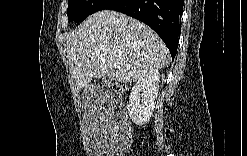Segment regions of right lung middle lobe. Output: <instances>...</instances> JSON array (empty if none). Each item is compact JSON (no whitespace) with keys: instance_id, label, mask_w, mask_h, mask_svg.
<instances>
[{"instance_id":"dd1d6c3e","label":"right lung middle lobe","mask_w":247,"mask_h":156,"mask_svg":"<svg viewBox=\"0 0 247 156\" xmlns=\"http://www.w3.org/2000/svg\"><path fill=\"white\" fill-rule=\"evenodd\" d=\"M108 0H68L67 15L70 21L80 22L99 11Z\"/></svg>"}]
</instances>
